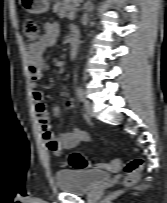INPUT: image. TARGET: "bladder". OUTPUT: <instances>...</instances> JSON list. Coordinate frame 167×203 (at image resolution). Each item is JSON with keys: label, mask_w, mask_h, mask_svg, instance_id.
<instances>
[{"label": "bladder", "mask_w": 167, "mask_h": 203, "mask_svg": "<svg viewBox=\"0 0 167 203\" xmlns=\"http://www.w3.org/2000/svg\"><path fill=\"white\" fill-rule=\"evenodd\" d=\"M110 178V173L95 169H63L54 174L56 187L71 194L91 192Z\"/></svg>", "instance_id": "obj_1"}]
</instances>
